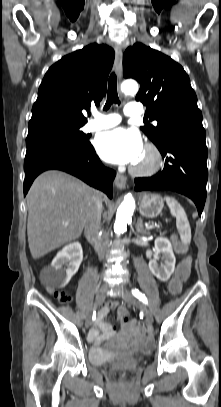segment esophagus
<instances>
[{
    "label": "esophagus",
    "mask_w": 221,
    "mask_h": 407,
    "mask_svg": "<svg viewBox=\"0 0 221 407\" xmlns=\"http://www.w3.org/2000/svg\"><path fill=\"white\" fill-rule=\"evenodd\" d=\"M122 57H123L122 48L118 45L115 46V62L119 81L121 80L123 74ZM126 181L127 179L125 176L117 173L116 178L114 180V184L116 188L122 190L126 187Z\"/></svg>",
    "instance_id": "obj_1"
}]
</instances>
